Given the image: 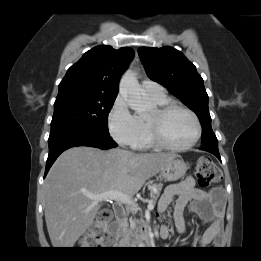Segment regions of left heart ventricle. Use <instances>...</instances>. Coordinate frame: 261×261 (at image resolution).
<instances>
[{
  "instance_id": "obj_1",
  "label": "left heart ventricle",
  "mask_w": 261,
  "mask_h": 261,
  "mask_svg": "<svg viewBox=\"0 0 261 261\" xmlns=\"http://www.w3.org/2000/svg\"><path fill=\"white\" fill-rule=\"evenodd\" d=\"M147 117H153L151 111ZM163 138L172 145L182 146L189 143L195 135V124L185 111L175 109L160 122Z\"/></svg>"
}]
</instances>
